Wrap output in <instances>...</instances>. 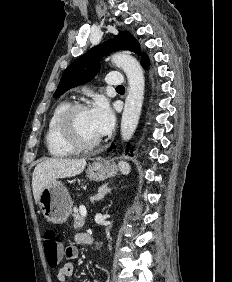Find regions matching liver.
<instances>
[{
    "label": "liver",
    "instance_id": "6515ba94",
    "mask_svg": "<svg viewBox=\"0 0 232 282\" xmlns=\"http://www.w3.org/2000/svg\"><path fill=\"white\" fill-rule=\"evenodd\" d=\"M85 159L50 158L40 162L32 175V190L36 203L43 189L59 178L72 177L83 172Z\"/></svg>",
    "mask_w": 232,
    "mask_h": 282
}]
</instances>
